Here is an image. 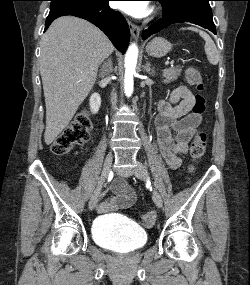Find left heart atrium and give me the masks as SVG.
Instances as JSON below:
<instances>
[{
	"label": "left heart atrium",
	"mask_w": 250,
	"mask_h": 285,
	"mask_svg": "<svg viewBox=\"0 0 250 285\" xmlns=\"http://www.w3.org/2000/svg\"><path fill=\"white\" fill-rule=\"evenodd\" d=\"M115 6L122 12L133 17H144L150 12L147 1H118Z\"/></svg>",
	"instance_id": "left-heart-atrium-1"
}]
</instances>
